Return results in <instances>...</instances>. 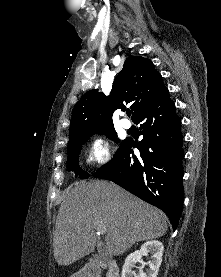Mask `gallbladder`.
Returning <instances> with one entry per match:
<instances>
[{"label":"gallbladder","instance_id":"gallbladder-1","mask_svg":"<svg viewBox=\"0 0 221 277\" xmlns=\"http://www.w3.org/2000/svg\"><path fill=\"white\" fill-rule=\"evenodd\" d=\"M96 257H97L98 259L104 260V261H108V260H109V257H105V256L100 255V254H98Z\"/></svg>","mask_w":221,"mask_h":277}]
</instances>
